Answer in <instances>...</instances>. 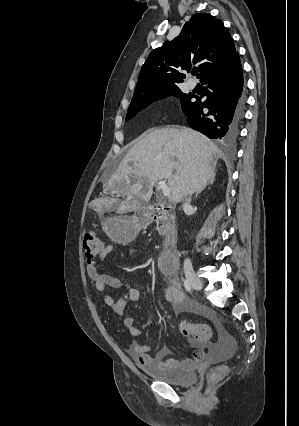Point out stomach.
<instances>
[{
  "mask_svg": "<svg viewBox=\"0 0 299 426\" xmlns=\"http://www.w3.org/2000/svg\"><path fill=\"white\" fill-rule=\"evenodd\" d=\"M102 230L115 242L127 243L137 234V224L132 218L112 216L101 221Z\"/></svg>",
  "mask_w": 299,
  "mask_h": 426,
  "instance_id": "stomach-1",
  "label": "stomach"
}]
</instances>
